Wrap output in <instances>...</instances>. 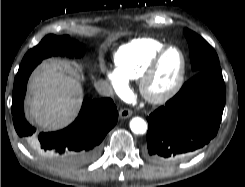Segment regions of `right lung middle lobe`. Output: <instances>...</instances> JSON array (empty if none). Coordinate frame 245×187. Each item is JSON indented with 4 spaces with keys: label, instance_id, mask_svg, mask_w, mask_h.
<instances>
[{
    "label": "right lung middle lobe",
    "instance_id": "dd1d6c3e",
    "mask_svg": "<svg viewBox=\"0 0 245 187\" xmlns=\"http://www.w3.org/2000/svg\"><path fill=\"white\" fill-rule=\"evenodd\" d=\"M82 53L83 49L77 42L70 40L69 36L47 35L37 46L26 53L22 62L44 59L52 55H75L79 57Z\"/></svg>",
    "mask_w": 245,
    "mask_h": 187
}]
</instances>
